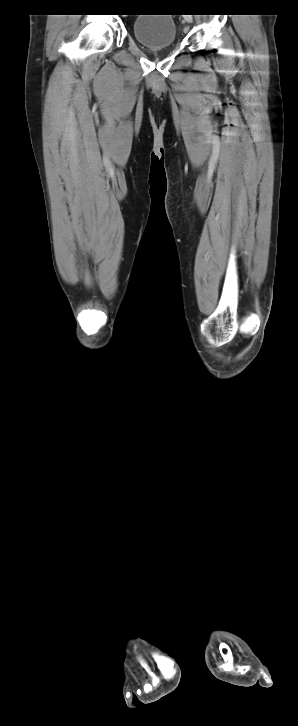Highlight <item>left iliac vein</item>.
I'll list each match as a JSON object with an SVG mask.
<instances>
[{
  "instance_id": "1",
  "label": "left iliac vein",
  "mask_w": 298,
  "mask_h": 726,
  "mask_svg": "<svg viewBox=\"0 0 298 726\" xmlns=\"http://www.w3.org/2000/svg\"><path fill=\"white\" fill-rule=\"evenodd\" d=\"M186 21H187V22H191V21H192V17H191V16H187V17H186ZM185 31H187V29H185Z\"/></svg>"
}]
</instances>
